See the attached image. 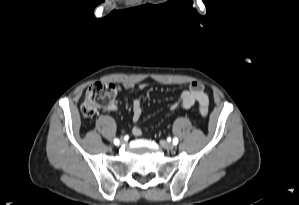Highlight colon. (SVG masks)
Instances as JSON below:
<instances>
[{
  "label": "colon",
  "instance_id": "colon-1",
  "mask_svg": "<svg viewBox=\"0 0 299 205\" xmlns=\"http://www.w3.org/2000/svg\"><path fill=\"white\" fill-rule=\"evenodd\" d=\"M121 91V87L114 83L95 82L91 84L83 99L82 113L87 117L94 116L101 108L113 105ZM203 117L208 116V108L204 105L199 107Z\"/></svg>",
  "mask_w": 299,
  "mask_h": 205
}]
</instances>
